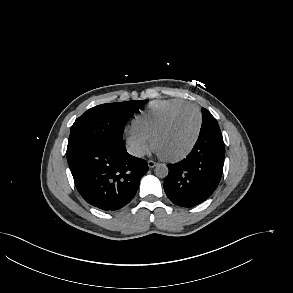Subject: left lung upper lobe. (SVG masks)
Masks as SVG:
<instances>
[{"label": "left lung upper lobe", "instance_id": "5c2ea615", "mask_svg": "<svg viewBox=\"0 0 293 293\" xmlns=\"http://www.w3.org/2000/svg\"><path fill=\"white\" fill-rule=\"evenodd\" d=\"M202 118L203 120L200 133L207 132L209 130H220L216 119L205 108H202Z\"/></svg>", "mask_w": 293, "mask_h": 293}]
</instances>
